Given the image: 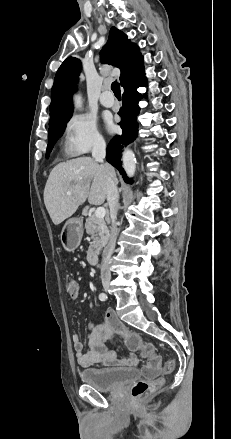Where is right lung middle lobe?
<instances>
[{"label":"right lung middle lobe","instance_id":"right-lung-middle-lobe-1","mask_svg":"<svg viewBox=\"0 0 231 439\" xmlns=\"http://www.w3.org/2000/svg\"><path fill=\"white\" fill-rule=\"evenodd\" d=\"M70 118L64 120L63 122L50 127L48 130V145H47V150H46V157L49 156V153L51 152L53 145L55 144V142L58 140L59 137L62 136L65 128H66V123L69 121Z\"/></svg>","mask_w":231,"mask_h":439}]
</instances>
